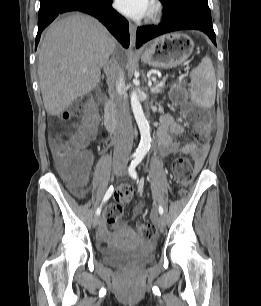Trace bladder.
<instances>
[{
    "label": "bladder",
    "instance_id": "obj_1",
    "mask_svg": "<svg viewBox=\"0 0 261 306\" xmlns=\"http://www.w3.org/2000/svg\"><path fill=\"white\" fill-rule=\"evenodd\" d=\"M126 233L138 239L131 229L120 230L115 240L100 250L101 261L106 265L140 268L152 262L155 257L156 245L147 240H141L136 245L126 246L121 243Z\"/></svg>",
    "mask_w": 261,
    "mask_h": 306
}]
</instances>
